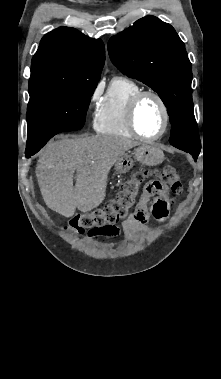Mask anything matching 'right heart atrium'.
I'll return each instance as SVG.
<instances>
[{
    "label": "right heart atrium",
    "instance_id": "right-heart-atrium-1",
    "mask_svg": "<svg viewBox=\"0 0 221 379\" xmlns=\"http://www.w3.org/2000/svg\"><path fill=\"white\" fill-rule=\"evenodd\" d=\"M101 91H102V88L100 85H98L97 87L94 88V90L91 92L90 96H89V104H94L98 98L100 97L101 95Z\"/></svg>",
    "mask_w": 221,
    "mask_h": 379
}]
</instances>
